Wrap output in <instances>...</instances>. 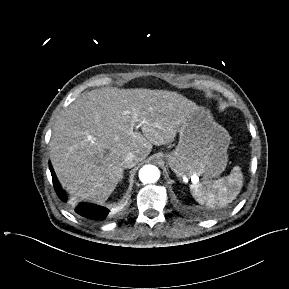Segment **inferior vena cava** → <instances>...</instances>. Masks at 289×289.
<instances>
[{"mask_svg":"<svg viewBox=\"0 0 289 289\" xmlns=\"http://www.w3.org/2000/svg\"><path fill=\"white\" fill-rule=\"evenodd\" d=\"M139 159L136 157L135 154L129 152L126 154L123 165L124 168H132L138 163Z\"/></svg>","mask_w":289,"mask_h":289,"instance_id":"1","label":"inferior vena cava"}]
</instances>
